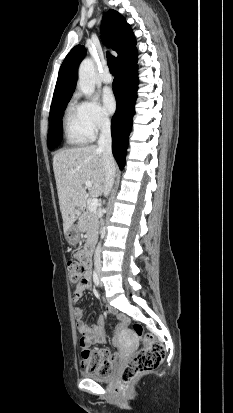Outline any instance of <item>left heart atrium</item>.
Returning <instances> with one entry per match:
<instances>
[{
    "label": "left heart atrium",
    "instance_id": "39dd6f15",
    "mask_svg": "<svg viewBox=\"0 0 233 413\" xmlns=\"http://www.w3.org/2000/svg\"><path fill=\"white\" fill-rule=\"evenodd\" d=\"M102 101L107 112L113 113L116 110V99L110 89H105L103 91Z\"/></svg>",
    "mask_w": 233,
    "mask_h": 413
}]
</instances>
